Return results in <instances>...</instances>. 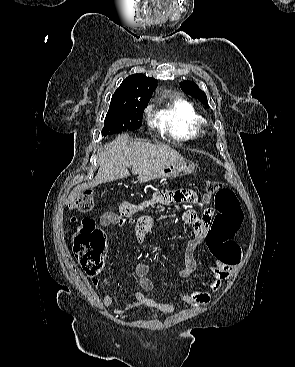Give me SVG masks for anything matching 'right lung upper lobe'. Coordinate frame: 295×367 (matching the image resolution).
<instances>
[{"mask_svg": "<svg viewBox=\"0 0 295 367\" xmlns=\"http://www.w3.org/2000/svg\"><path fill=\"white\" fill-rule=\"evenodd\" d=\"M157 80L144 74L128 76L115 91L111 105H120L132 102H148L156 89Z\"/></svg>", "mask_w": 295, "mask_h": 367, "instance_id": "obj_1", "label": "right lung upper lobe"}]
</instances>
